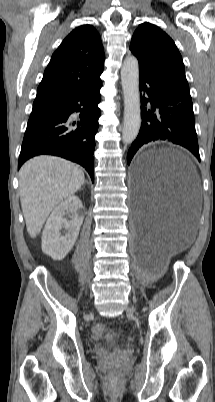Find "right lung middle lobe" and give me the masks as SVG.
<instances>
[{
	"mask_svg": "<svg viewBox=\"0 0 215 402\" xmlns=\"http://www.w3.org/2000/svg\"><path fill=\"white\" fill-rule=\"evenodd\" d=\"M57 102L34 103L28 123L33 122L56 106Z\"/></svg>",
	"mask_w": 215,
	"mask_h": 402,
	"instance_id": "obj_1",
	"label": "right lung middle lobe"
}]
</instances>
